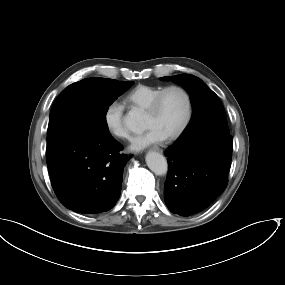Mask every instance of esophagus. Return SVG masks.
I'll use <instances>...</instances> for the list:
<instances>
[{
  "mask_svg": "<svg viewBox=\"0 0 285 285\" xmlns=\"http://www.w3.org/2000/svg\"><path fill=\"white\" fill-rule=\"evenodd\" d=\"M152 149L155 150V151H158L160 153L163 152V150L161 148L157 147V146H154Z\"/></svg>",
  "mask_w": 285,
  "mask_h": 285,
  "instance_id": "1",
  "label": "esophagus"
}]
</instances>
